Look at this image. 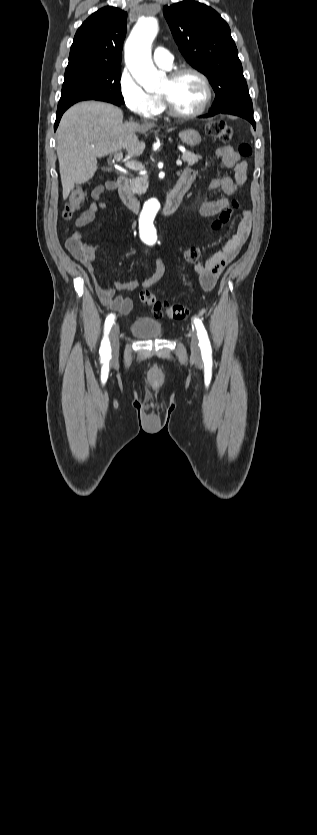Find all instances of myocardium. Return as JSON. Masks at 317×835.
<instances>
[{
    "label": "myocardium",
    "instance_id": "obj_1",
    "mask_svg": "<svg viewBox=\"0 0 317 835\" xmlns=\"http://www.w3.org/2000/svg\"><path fill=\"white\" fill-rule=\"evenodd\" d=\"M185 74H193L196 77H198L200 79V81L202 82V85L204 87V91H205L204 99L201 102L200 106L195 111L190 112V113L180 112L173 106L171 100L169 99V97L167 95L160 93L159 96H160L167 112L172 117L179 118V119H192V118L198 117V116H200L201 114L204 113V111L207 109V107L209 106V104L212 100L213 91H212V86H211V83H210L208 77L202 71H200V70H198L194 67L185 66V67L177 68V69H175V70H173L169 73L168 78L173 81V80H176L177 78H179L180 76L185 75Z\"/></svg>",
    "mask_w": 317,
    "mask_h": 835
}]
</instances>
